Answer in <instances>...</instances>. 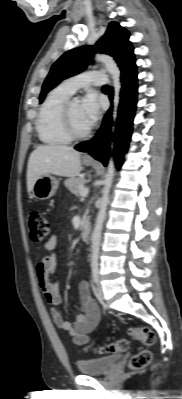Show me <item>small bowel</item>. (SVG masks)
Here are the masks:
<instances>
[{
	"label": "small bowel",
	"mask_w": 182,
	"mask_h": 399,
	"mask_svg": "<svg viewBox=\"0 0 182 399\" xmlns=\"http://www.w3.org/2000/svg\"><path fill=\"white\" fill-rule=\"evenodd\" d=\"M56 236L50 237L45 243L44 248L53 251L56 246ZM58 256L55 252L43 256L36 264V276L39 288L41 289L46 301L56 306L61 302L59 285L57 282L50 281L49 277L55 272ZM79 297L81 302V312L76 314L74 321L65 320L56 307H52L50 315L54 324L74 338L77 344L83 345L90 342L91 334L101 321L100 313L96 303L90 295V286L86 281L79 283Z\"/></svg>",
	"instance_id": "1"
}]
</instances>
